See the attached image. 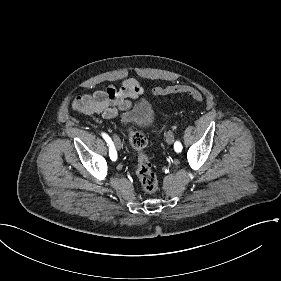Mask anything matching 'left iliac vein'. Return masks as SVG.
Wrapping results in <instances>:
<instances>
[{"instance_id":"1","label":"left iliac vein","mask_w":281,"mask_h":281,"mask_svg":"<svg viewBox=\"0 0 281 281\" xmlns=\"http://www.w3.org/2000/svg\"><path fill=\"white\" fill-rule=\"evenodd\" d=\"M166 142L168 144H172L174 142V135L172 132H168V134L166 135Z\"/></svg>"}]
</instances>
